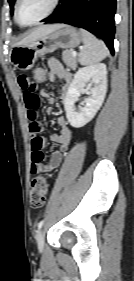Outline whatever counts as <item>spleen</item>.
I'll use <instances>...</instances> for the list:
<instances>
[{
	"mask_svg": "<svg viewBox=\"0 0 134 281\" xmlns=\"http://www.w3.org/2000/svg\"><path fill=\"white\" fill-rule=\"evenodd\" d=\"M80 32L84 44L78 56L80 64L93 65L105 59L108 55L105 43L84 29H81Z\"/></svg>",
	"mask_w": 134,
	"mask_h": 281,
	"instance_id": "1",
	"label": "spleen"
}]
</instances>
